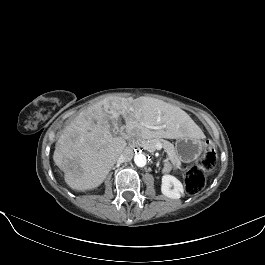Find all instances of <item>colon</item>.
Here are the masks:
<instances>
[{"mask_svg":"<svg viewBox=\"0 0 265 265\" xmlns=\"http://www.w3.org/2000/svg\"><path fill=\"white\" fill-rule=\"evenodd\" d=\"M217 161V155L214 145L211 142L206 143L205 152L197 164L188 169L185 174L186 190L191 195H196L202 191L206 182V175Z\"/></svg>","mask_w":265,"mask_h":265,"instance_id":"obj_1","label":"colon"}]
</instances>
